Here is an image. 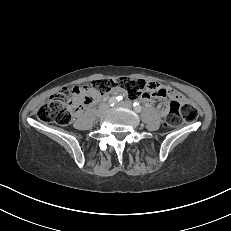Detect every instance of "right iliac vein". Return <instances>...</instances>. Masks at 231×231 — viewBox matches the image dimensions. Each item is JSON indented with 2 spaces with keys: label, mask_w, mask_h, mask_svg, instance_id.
Here are the masks:
<instances>
[{
  "label": "right iliac vein",
  "mask_w": 231,
  "mask_h": 231,
  "mask_svg": "<svg viewBox=\"0 0 231 231\" xmlns=\"http://www.w3.org/2000/svg\"><path fill=\"white\" fill-rule=\"evenodd\" d=\"M106 110H107V107H102L98 110V114L103 115L106 112Z\"/></svg>",
  "instance_id": "1"
}]
</instances>
